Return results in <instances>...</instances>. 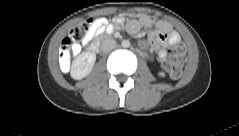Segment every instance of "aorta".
I'll return each instance as SVG.
<instances>
[{
    "label": "aorta",
    "instance_id": "obj_1",
    "mask_svg": "<svg viewBox=\"0 0 239 136\" xmlns=\"http://www.w3.org/2000/svg\"><path fill=\"white\" fill-rule=\"evenodd\" d=\"M123 48H128L130 47V41L129 40H123L121 43Z\"/></svg>",
    "mask_w": 239,
    "mask_h": 136
}]
</instances>
